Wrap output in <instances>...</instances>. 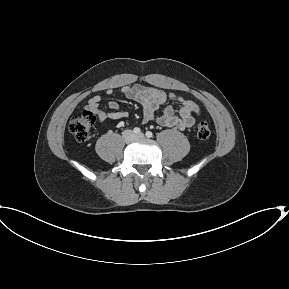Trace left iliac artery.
Listing matches in <instances>:
<instances>
[{"instance_id":"44dca946","label":"left iliac artery","mask_w":289,"mask_h":289,"mask_svg":"<svg viewBox=\"0 0 289 289\" xmlns=\"http://www.w3.org/2000/svg\"><path fill=\"white\" fill-rule=\"evenodd\" d=\"M146 137L151 138L153 137V133L151 131L146 132Z\"/></svg>"}]
</instances>
